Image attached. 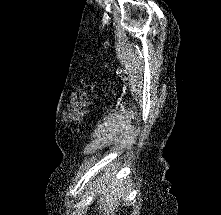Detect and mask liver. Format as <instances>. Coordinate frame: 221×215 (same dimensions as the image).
I'll use <instances>...</instances> for the list:
<instances>
[{
    "mask_svg": "<svg viewBox=\"0 0 221 215\" xmlns=\"http://www.w3.org/2000/svg\"><path fill=\"white\" fill-rule=\"evenodd\" d=\"M113 170L106 172L95 183V193L100 196L97 203L100 205L103 215H115L120 202L124 200V188H121V184L114 180L115 172Z\"/></svg>",
    "mask_w": 221,
    "mask_h": 215,
    "instance_id": "liver-1",
    "label": "liver"
}]
</instances>
